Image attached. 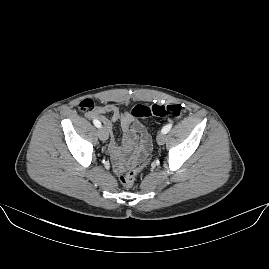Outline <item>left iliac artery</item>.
I'll return each mask as SVG.
<instances>
[{
    "label": "left iliac artery",
    "instance_id": "1",
    "mask_svg": "<svg viewBox=\"0 0 269 269\" xmlns=\"http://www.w3.org/2000/svg\"><path fill=\"white\" fill-rule=\"evenodd\" d=\"M171 127H172V124H167L166 126H164L162 128V133L166 134L167 132L170 131Z\"/></svg>",
    "mask_w": 269,
    "mask_h": 269
}]
</instances>
